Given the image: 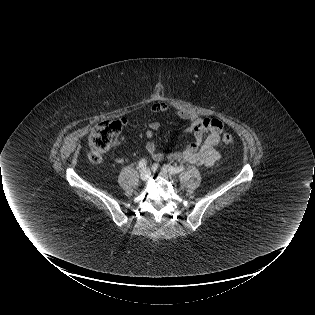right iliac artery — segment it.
Listing matches in <instances>:
<instances>
[{"instance_id":"1","label":"right iliac artery","mask_w":315,"mask_h":315,"mask_svg":"<svg viewBox=\"0 0 315 315\" xmlns=\"http://www.w3.org/2000/svg\"><path fill=\"white\" fill-rule=\"evenodd\" d=\"M147 165V161L145 159H142L139 161V168H144Z\"/></svg>"}]
</instances>
